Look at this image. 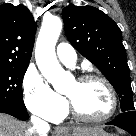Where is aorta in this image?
<instances>
[{
	"mask_svg": "<svg viewBox=\"0 0 136 136\" xmlns=\"http://www.w3.org/2000/svg\"><path fill=\"white\" fill-rule=\"evenodd\" d=\"M61 30L62 21L59 17L44 18L35 48L36 63L41 74L59 93L64 92L66 80L72 78L63 70L55 53Z\"/></svg>",
	"mask_w": 136,
	"mask_h": 136,
	"instance_id": "obj_1",
	"label": "aorta"
}]
</instances>
